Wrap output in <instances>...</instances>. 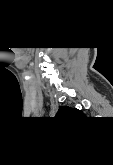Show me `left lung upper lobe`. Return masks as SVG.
I'll use <instances>...</instances> for the list:
<instances>
[{"label": "left lung upper lobe", "mask_w": 113, "mask_h": 165, "mask_svg": "<svg viewBox=\"0 0 113 165\" xmlns=\"http://www.w3.org/2000/svg\"><path fill=\"white\" fill-rule=\"evenodd\" d=\"M60 114H69L74 116H82V112L77 109H70L69 107H61L57 113V115Z\"/></svg>", "instance_id": "1"}]
</instances>
